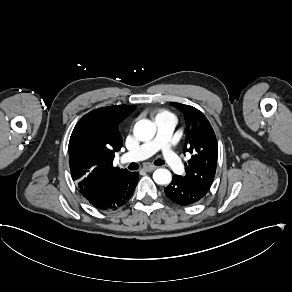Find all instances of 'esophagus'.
I'll return each instance as SVG.
<instances>
[{
	"instance_id": "esophagus-1",
	"label": "esophagus",
	"mask_w": 292,
	"mask_h": 292,
	"mask_svg": "<svg viewBox=\"0 0 292 292\" xmlns=\"http://www.w3.org/2000/svg\"><path fill=\"white\" fill-rule=\"evenodd\" d=\"M157 167L156 166H153V165H146L143 167V169L146 171V172H151L153 170H155Z\"/></svg>"
}]
</instances>
